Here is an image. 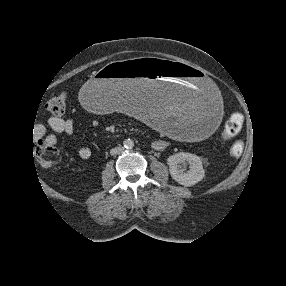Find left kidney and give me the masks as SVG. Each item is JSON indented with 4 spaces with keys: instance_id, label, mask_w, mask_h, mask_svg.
<instances>
[{
    "instance_id": "obj_1",
    "label": "left kidney",
    "mask_w": 286,
    "mask_h": 286,
    "mask_svg": "<svg viewBox=\"0 0 286 286\" xmlns=\"http://www.w3.org/2000/svg\"><path fill=\"white\" fill-rule=\"evenodd\" d=\"M189 164V170L185 171L183 166L185 163ZM171 177L179 184L190 187L200 182L204 176L202 161L197 155L179 152L171 155L167 159Z\"/></svg>"
}]
</instances>
